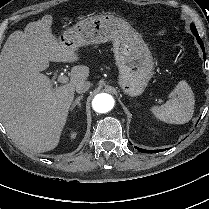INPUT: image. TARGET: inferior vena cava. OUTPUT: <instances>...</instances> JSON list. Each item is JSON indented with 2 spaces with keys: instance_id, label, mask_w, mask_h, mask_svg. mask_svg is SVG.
Instances as JSON below:
<instances>
[{
  "instance_id": "602c4592",
  "label": "inferior vena cava",
  "mask_w": 209,
  "mask_h": 209,
  "mask_svg": "<svg viewBox=\"0 0 209 209\" xmlns=\"http://www.w3.org/2000/svg\"><path fill=\"white\" fill-rule=\"evenodd\" d=\"M90 82L89 81H81L79 82L76 87L75 90L77 93L81 94V93H85L86 91L89 90L90 88Z\"/></svg>"
}]
</instances>
